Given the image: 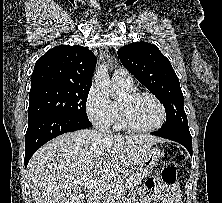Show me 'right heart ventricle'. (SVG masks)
Segmentation results:
<instances>
[{
	"label": "right heart ventricle",
	"instance_id": "e07e8e85",
	"mask_svg": "<svg viewBox=\"0 0 222 203\" xmlns=\"http://www.w3.org/2000/svg\"><path fill=\"white\" fill-rule=\"evenodd\" d=\"M125 92H132V88H124ZM114 108H115V113H114V120H113V127L116 130H123L126 129L125 125L123 124L121 117H120V113H119V108H118V102L114 103Z\"/></svg>",
	"mask_w": 222,
	"mask_h": 203
}]
</instances>
